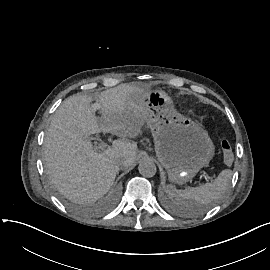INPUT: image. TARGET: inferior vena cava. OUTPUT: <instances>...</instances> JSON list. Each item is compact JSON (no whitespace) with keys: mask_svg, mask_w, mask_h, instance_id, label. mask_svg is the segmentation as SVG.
Segmentation results:
<instances>
[{"mask_svg":"<svg viewBox=\"0 0 270 270\" xmlns=\"http://www.w3.org/2000/svg\"><path fill=\"white\" fill-rule=\"evenodd\" d=\"M122 166L127 167V165H126V163H125V162L122 164Z\"/></svg>","mask_w":270,"mask_h":270,"instance_id":"inferior-vena-cava-1","label":"inferior vena cava"}]
</instances>
